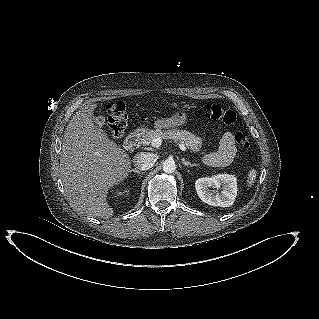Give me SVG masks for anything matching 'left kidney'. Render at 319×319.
I'll return each instance as SVG.
<instances>
[{"instance_id": "left-kidney-1", "label": "left kidney", "mask_w": 319, "mask_h": 319, "mask_svg": "<svg viewBox=\"0 0 319 319\" xmlns=\"http://www.w3.org/2000/svg\"><path fill=\"white\" fill-rule=\"evenodd\" d=\"M199 198L212 206L229 207L237 195V181L234 175L218 174L213 177L199 178L195 182ZM209 188H222L221 193L210 191Z\"/></svg>"}]
</instances>
